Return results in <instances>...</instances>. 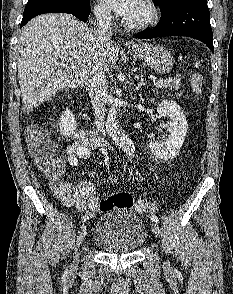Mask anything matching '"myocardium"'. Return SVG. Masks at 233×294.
<instances>
[{
	"mask_svg": "<svg viewBox=\"0 0 233 294\" xmlns=\"http://www.w3.org/2000/svg\"><path fill=\"white\" fill-rule=\"evenodd\" d=\"M143 4L147 10L146 17L143 20L137 22L127 21L128 27L135 30H143L157 23L159 19V10L155 3L152 0H144Z\"/></svg>",
	"mask_w": 233,
	"mask_h": 294,
	"instance_id": "obj_1",
	"label": "myocardium"
}]
</instances>
